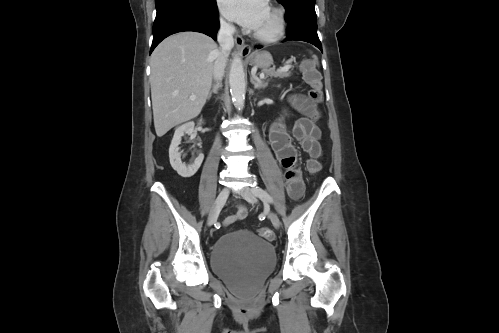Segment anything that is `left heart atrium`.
Here are the masks:
<instances>
[{"instance_id":"left-heart-atrium-1","label":"left heart atrium","mask_w":499,"mask_h":333,"mask_svg":"<svg viewBox=\"0 0 499 333\" xmlns=\"http://www.w3.org/2000/svg\"><path fill=\"white\" fill-rule=\"evenodd\" d=\"M222 14L240 25L256 29L268 9V0H218Z\"/></svg>"}]
</instances>
